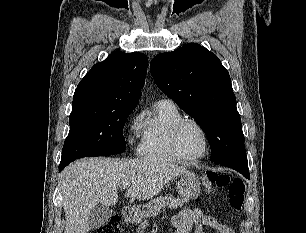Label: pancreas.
Here are the masks:
<instances>
[{
  "mask_svg": "<svg viewBox=\"0 0 306 233\" xmlns=\"http://www.w3.org/2000/svg\"><path fill=\"white\" fill-rule=\"evenodd\" d=\"M185 200L180 198H175L173 196H159L150 200L148 203L143 205V209H147L146 214H144L143 219L140 221V227L145 228L148 226V217H156L160 211L166 207L175 209L182 207Z\"/></svg>",
  "mask_w": 306,
  "mask_h": 233,
  "instance_id": "obj_1",
  "label": "pancreas"
}]
</instances>
